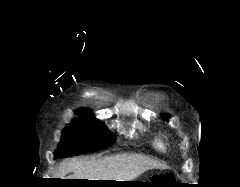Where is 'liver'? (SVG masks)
<instances>
[{"label":"liver","mask_w":240,"mask_h":187,"mask_svg":"<svg viewBox=\"0 0 240 187\" xmlns=\"http://www.w3.org/2000/svg\"><path fill=\"white\" fill-rule=\"evenodd\" d=\"M155 168H164V165L140 154L122 153L99 159L65 160L55 176L61 179L132 181L145 171ZM70 172L73 175L65 178Z\"/></svg>","instance_id":"obj_1"}]
</instances>
